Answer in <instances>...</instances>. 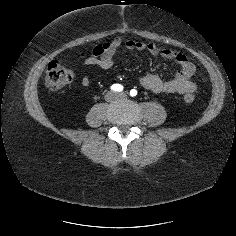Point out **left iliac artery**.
Returning <instances> with one entry per match:
<instances>
[{"label": "left iliac artery", "instance_id": "obj_1", "mask_svg": "<svg viewBox=\"0 0 236 236\" xmlns=\"http://www.w3.org/2000/svg\"><path fill=\"white\" fill-rule=\"evenodd\" d=\"M136 95H137V90L132 89V90L130 91V96L134 97V96H136Z\"/></svg>", "mask_w": 236, "mask_h": 236}]
</instances>
